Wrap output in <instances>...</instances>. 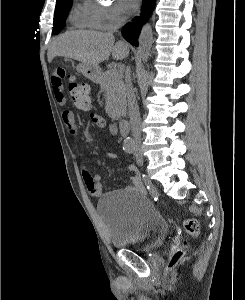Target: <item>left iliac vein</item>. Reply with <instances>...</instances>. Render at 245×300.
<instances>
[{
	"label": "left iliac vein",
	"instance_id": "1",
	"mask_svg": "<svg viewBox=\"0 0 245 300\" xmlns=\"http://www.w3.org/2000/svg\"><path fill=\"white\" fill-rule=\"evenodd\" d=\"M136 161H137V164H138L139 166H142V165H143V157H142V154L138 153V154L136 155Z\"/></svg>",
	"mask_w": 245,
	"mask_h": 300
}]
</instances>
